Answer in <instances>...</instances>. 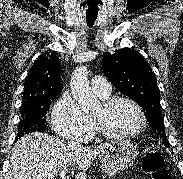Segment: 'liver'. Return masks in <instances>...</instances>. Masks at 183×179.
Segmentation results:
<instances>
[{"mask_svg": "<svg viewBox=\"0 0 183 179\" xmlns=\"http://www.w3.org/2000/svg\"><path fill=\"white\" fill-rule=\"evenodd\" d=\"M108 145L72 149L47 133H30L14 144L5 179H55L61 170L72 165L79 170L75 178L86 179L92 161Z\"/></svg>", "mask_w": 183, "mask_h": 179, "instance_id": "liver-1", "label": "liver"}]
</instances>
